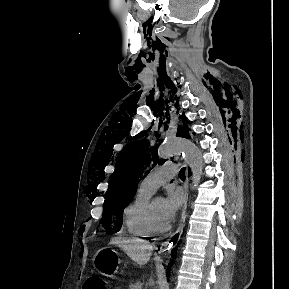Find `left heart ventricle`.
Segmentation results:
<instances>
[{
    "label": "left heart ventricle",
    "mask_w": 289,
    "mask_h": 289,
    "mask_svg": "<svg viewBox=\"0 0 289 289\" xmlns=\"http://www.w3.org/2000/svg\"><path fill=\"white\" fill-rule=\"evenodd\" d=\"M163 206H164V200L162 198L153 199L152 208H153V212L156 217V220L160 224H167L168 221L165 220L164 215H163Z\"/></svg>",
    "instance_id": "1"
}]
</instances>
